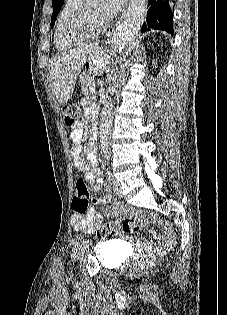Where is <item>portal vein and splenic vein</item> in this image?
<instances>
[{"label": "portal vein and splenic vein", "mask_w": 227, "mask_h": 315, "mask_svg": "<svg viewBox=\"0 0 227 315\" xmlns=\"http://www.w3.org/2000/svg\"><path fill=\"white\" fill-rule=\"evenodd\" d=\"M90 85H92V86L95 85V80L94 79L90 81Z\"/></svg>", "instance_id": "1"}]
</instances>
